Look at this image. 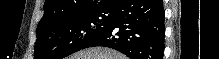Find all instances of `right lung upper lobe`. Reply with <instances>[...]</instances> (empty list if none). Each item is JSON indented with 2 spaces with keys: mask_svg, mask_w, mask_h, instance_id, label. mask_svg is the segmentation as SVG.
<instances>
[{
  "mask_svg": "<svg viewBox=\"0 0 219 59\" xmlns=\"http://www.w3.org/2000/svg\"><path fill=\"white\" fill-rule=\"evenodd\" d=\"M117 0H46L39 25L74 15L112 10Z\"/></svg>",
  "mask_w": 219,
  "mask_h": 59,
  "instance_id": "right-lung-upper-lobe-1",
  "label": "right lung upper lobe"
}]
</instances>
